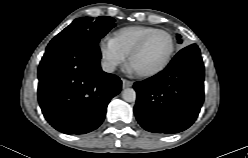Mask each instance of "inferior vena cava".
I'll use <instances>...</instances> for the list:
<instances>
[{
    "label": "inferior vena cava",
    "mask_w": 248,
    "mask_h": 158,
    "mask_svg": "<svg viewBox=\"0 0 248 158\" xmlns=\"http://www.w3.org/2000/svg\"><path fill=\"white\" fill-rule=\"evenodd\" d=\"M101 66H102L103 71L108 72V73H112L116 67L115 63L108 62V61H103L101 63Z\"/></svg>",
    "instance_id": "obj_1"
}]
</instances>
